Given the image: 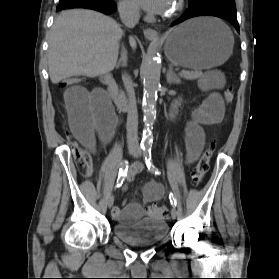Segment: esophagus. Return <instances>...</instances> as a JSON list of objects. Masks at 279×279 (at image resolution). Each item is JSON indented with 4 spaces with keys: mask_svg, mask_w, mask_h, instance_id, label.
<instances>
[{
    "mask_svg": "<svg viewBox=\"0 0 279 279\" xmlns=\"http://www.w3.org/2000/svg\"><path fill=\"white\" fill-rule=\"evenodd\" d=\"M144 35L149 40H158L159 38L158 32L155 29L149 27L144 29Z\"/></svg>",
    "mask_w": 279,
    "mask_h": 279,
    "instance_id": "1",
    "label": "esophagus"
}]
</instances>
